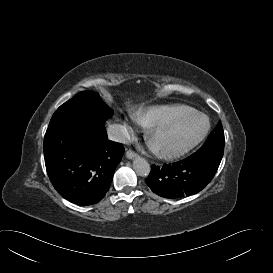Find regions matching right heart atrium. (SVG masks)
<instances>
[{
  "label": "right heart atrium",
  "mask_w": 273,
  "mask_h": 273,
  "mask_svg": "<svg viewBox=\"0 0 273 273\" xmlns=\"http://www.w3.org/2000/svg\"><path fill=\"white\" fill-rule=\"evenodd\" d=\"M123 127L127 133L131 134L133 132L132 127L128 125L126 122L123 123Z\"/></svg>",
  "instance_id": "right-heart-atrium-1"
}]
</instances>
